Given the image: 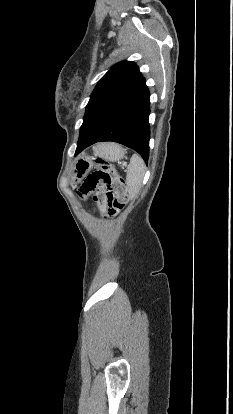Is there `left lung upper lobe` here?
<instances>
[{
    "instance_id": "obj_1",
    "label": "left lung upper lobe",
    "mask_w": 233,
    "mask_h": 414,
    "mask_svg": "<svg viewBox=\"0 0 233 414\" xmlns=\"http://www.w3.org/2000/svg\"><path fill=\"white\" fill-rule=\"evenodd\" d=\"M141 78L143 76L133 62L122 61L117 63L99 80L91 94L89 103L120 92Z\"/></svg>"
}]
</instances>
